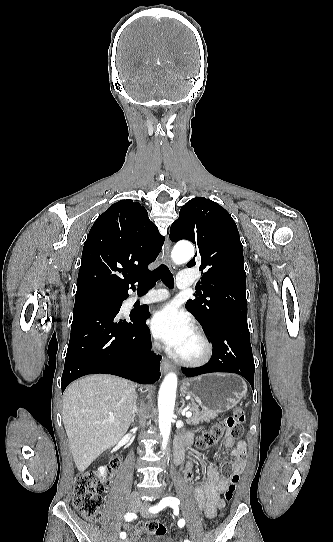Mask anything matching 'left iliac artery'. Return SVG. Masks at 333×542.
Returning a JSON list of instances; mask_svg holds the SVG:
<instances>
[{
	"instance_id": "left-iliac-artery-1",
	"label": "left iliac artery",
	"mask_w": 333,
	"mask_h": 542,
	"mask_svg": "<svg viewBox=\"0 0 333 542\" xmlns=\"http://www.w3.org/2000/svg\"><path fill=\"white\" fill-rule=\"evenodd\" d=\"M180 501L175 497H166L163 498L160 503L156 506L151 507L149 510L151 513H158L161 509L165 508L166 506L173 507L174 504H179ZM185 525V520L180 519L178 521V526L183 527ZM184 542H190L189 540H185Z\"/></svg>"
}]
</instances>
